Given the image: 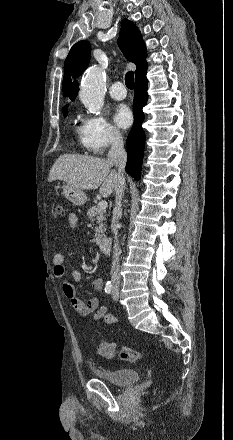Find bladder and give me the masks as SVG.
Wrapping results in <instances>:
<instances>
[{
  "label": "bladder",
  "mask_w": 233,
  "mask_h": 440,
  "mask_svg": "<svg viewBox=\"0 0 233 440\" xmlns=\"http://www.w3.org/2000/svg\"><path fill=\"white\" fill-rule=\"evenodd\" d=\"M92 370L97 378H100L112 385H132L139 380V373L135 369L107 370L94 366Z\"/></svg>",
  "instance_id": "bladder-1"
}]
</instances>
